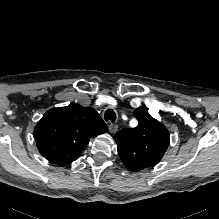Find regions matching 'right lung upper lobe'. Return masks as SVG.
Masks as SVG:
<instances>
[{
	"label": "right lung upper lobe",
	"mask_w": 219,
	"mask_h": 219,
	"mask_svg": "<svg viewBox=\"0 0 219 219\" xmlns=\"http://www.w3.org/2000/svg\"><path fill=\"white\" fill-rule=\"evenodd\" d=\"M107 131L96 110L71 103L47 111L34 128V137L47 160L64 166L79 158L90 138Z\"/></svg>",
	"instance_id": "right-lung-upper-lobe-1"
}]
</instances>
